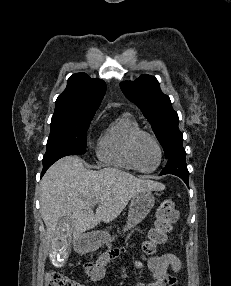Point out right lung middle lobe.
<instances>
[{"instance_id":"1","label":"right lung middle lobe","mask_w":231,"mask_h":286,"mask_svg":"<svg viewBox=\"0 0 231 286\" xmlns=\"http://www.w3.org/2000/svg\"><path fill=\"white\" fill-rule=\"evenodd\" d=\"M94 112H55L43 163L86 152V134Z\"/></svg>"}]
</instances>
